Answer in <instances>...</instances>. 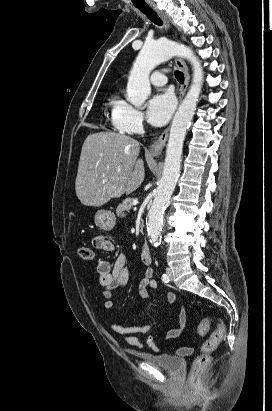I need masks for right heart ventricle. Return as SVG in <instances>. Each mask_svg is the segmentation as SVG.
Returning a JSON list of instances; mask_svg holds the SVG:
<instances>
[{
    "label": "right heart ventricle",
    "mask_w": 272,
    "mask_h": 411,
    "mask_svg": "<svg viewBox=\"0 0 272 411\" xmlns=\"http://www.w3.org/2000/svg\"><path fill=\"white\" fill-rule=\"evenodd\" d=\"M120 102H121V99H120L118 96H113V97H111L109 103H110V106H111V108H112V116H113V114H114V111H115L116 106H117ZM115 126H116V125H115ZM116 127H117V126H116ZM117 128L120 129L119 127H117ZM120 130H121V129H120Z\"/></svg>",
    "instance_id": "obj_1"
}]
</instances>
